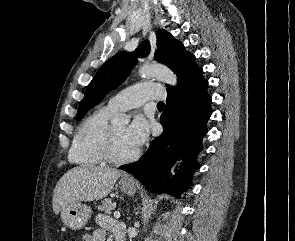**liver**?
I'll return each mask as SVG.
<instances>
[{"instance_id":"1","label":"liver","mask_w":295,"mask_h":241,"mask_svg":"<svg viewBox=\"0 0 295 241\" xmlns=\"http://www.w3.org/2000/svg\"><path fill=\"white\" fill-rule=\"evenodd\" d=\"M121 173L113 168L82 165L66 172L53 191V211L76 202H89L106 197Z\"/></svg>"}]
</instances>
